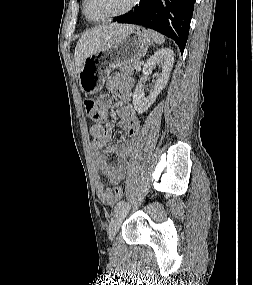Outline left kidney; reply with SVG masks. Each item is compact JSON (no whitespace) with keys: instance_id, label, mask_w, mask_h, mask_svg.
Returning a JSON list of instances; mask_svg holds the SVG:
<instances>
[{"instance_id":"obj_1","label":"left kidney","mask_w":253,"mask_h":285,"mask_svg":"<svg viewBox=\"0 0 253 285\" xmlns=\"http://www.w3.org/2000/svg\"><path fill=\"white\" fill-rule=\"evenodd\" d=\"M173 63L174 53L169 48L159 49L147 60L142 70L143 76H148L156 64L162 68V71L159 75L155 74L157 79L154 85V90L149 97H145L141 81L136 85L133 94V106L139 114L147 111L156 101L157 96L168 82Z\"/></svg>"}]
</instances>
